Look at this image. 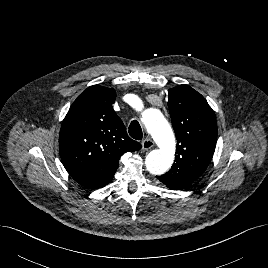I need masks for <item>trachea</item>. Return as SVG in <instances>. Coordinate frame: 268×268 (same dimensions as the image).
Returning a JSON list of instances; mask_svg holds the SVG:
<instances>
[{
  "label": "trachea",
  "instance_id": "1",
  "mask_svg": "<svg viewBox=\"0 0 268 268\" xmlns=\"http://www.w3.org/2000/svg\"><path fill=\"white\" fill-rule=\"evenodd\" d=\"M129 134L135 140H141L143 138L142 129L137 120H133L129 126Z\"/></svg>",
  "mask_w": 268,
  "mask_h": 268
}]
</instances>
